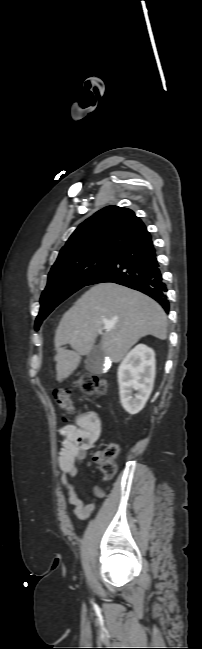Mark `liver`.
Here are the masks:
<instances>
[{"label": "liver", "mask_w": 202, "mask_h": 649, "mask_svg": "<svg viewBox=\"0 0 202 649\" xmlns=\"http://www.w3.org/2000/svg\"><path fill=\"white\" fill-rule=\"evenodd\" d=\"M107 325L110 327L107 328ZM102 334L101 350L119 362L141 338H167V317L149 296L116 283H100L80 297L63 315L55 334L57 381L78 367L81 356L94 347ZM69 344L73 350L62 346Z\"/></svg>", "instance_id": "6515ba94"}]
</instances>
